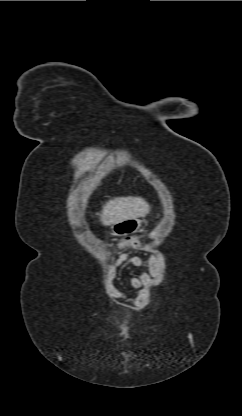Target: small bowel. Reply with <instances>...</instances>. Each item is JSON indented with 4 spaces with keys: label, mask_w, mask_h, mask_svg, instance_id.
Wrapping results in <instances>:
<instances>
[{
    "label": "small bowel",
    "mask_w": 242,
    "mask_h": 416,
    "mask_svg": "<svg viewBox=\"0 0 242 416\" xmlns=\"http://www.w3.org/2000/svg\"><path fill=\"white\" fill-rule=\"evenodd\" d=\"M144 255L148 259H151L153 256V253L151 251H146L144 252ZM124 263H129L135 267H141L143 265V260L141 257H138V256H130L129 254H122L110 266L107 272V277L109 279H112L115 276L117 269ZM152 278H153V275L150 271H143L139 276L132 277L130 279V285L131 287L135 289L142 290L140 295L136 297H128L124 293L118 292L117 299L124 302L125 304H127L128 306L132 308L144 305L147 299L145 288L151 283Z\"/></svg>",
    "instance_id": "c3829d8e"
}]
</instances>
